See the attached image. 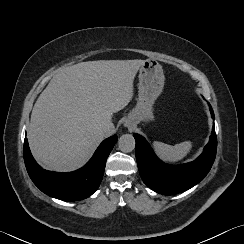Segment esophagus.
I'll return each instance as SVG.
<instances>
[{"label":"esophagus","instance_id":"34e87169","mask_svg":"<svg viewBox=\"0 0 244 244\" xmlns=\"http://www.w3.org/2000/svg\"><path fill=\"white\" fill-rule=\"evenodd\" d=\"M124 126L128 127V128H135L136 127V125L133 122H131L130 120H126L124 123Z\"/></svg>","mask_w":244,"mask_h":244}]
</instances>
